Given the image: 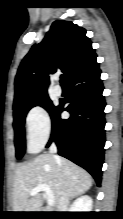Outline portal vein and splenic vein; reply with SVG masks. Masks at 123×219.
I'll list each match as a JSON object with an SVG mask.
<instances>
[{
	"label": "portal vein and splenic vein",
	"mask_w": 123,
	"mask_h": 219,
	"mask_svg": "<svg viewBox=\"0 0 123 219\" xmlns=\"http://www.w3.org/2000/svg\"><path fill=\"white\" fill-rule=\"evenodd\" d=\"M45 192V198L49 206H53L55 204L54 194L50 189V186L47 184H39L35 188L30 191V195L34 196L39 192Z\"/></svg>",
	"instance_id": "18ae733b"
}]
</instances>
